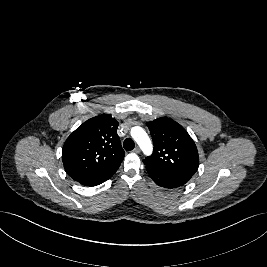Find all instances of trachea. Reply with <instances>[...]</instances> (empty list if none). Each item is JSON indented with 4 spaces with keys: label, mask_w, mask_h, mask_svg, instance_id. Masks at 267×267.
Here are the masks:
<instances>
[{
    "label": "trachea",
    "mask_w": 267,
    "mask_h": 267,
    "mask_svg": "<svg viewBox=\"0 0 267 267\" xmlns=\"http://www.w3.org/2000/svg\"><path fill=\"white\" fill-rule=\"evenodd\" d=\"M123 147L125 150L130 151L135 147V143L131 138H126L123 142Z\"/></svg>",
    "instance_id": "obj_1"
}]
</instances>
